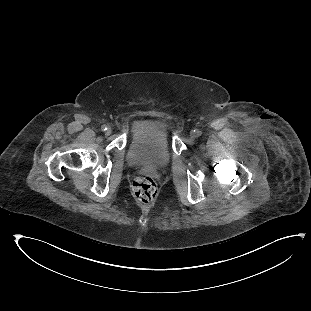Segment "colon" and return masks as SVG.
Here are the masks:
<instances>
[{
	"instance_id": "1",
	"label": "colon",
	"mask_w": 311,
	"mask_h": 311,
	"mask_svg": "<svg viewBox=\"0 0 311 311\" xmlns=\"http://www.w3.org/2000/svg\"><path fill=\"white\" fill-rule=\"evenodd\" d=\"M157 195V185L154 179L148 175H141L133 182V197L138 203L152 202Z\"/></svg>"
}]
</instances>
